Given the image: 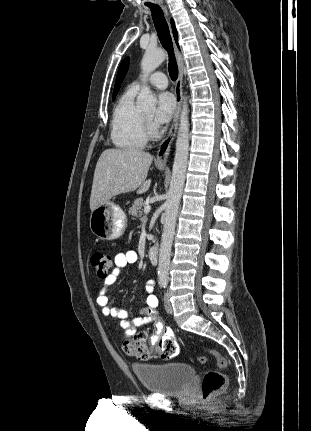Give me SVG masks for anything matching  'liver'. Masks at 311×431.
Listing matches in <instances>:
<instances>
[{
	"mask_svg": "<svg viewBox=\"0 0 311 431\" xmlns=\"http://www.w3.org/2000/svg\"><path fill=\"white\" fill-rule=\"evenodd\" d=\"M153 156L142 150H105L95 168L90 196L93 212L102 202L119 194H145L151 186L147 180Z\"/></svg>",
	"mask_w": 311,
	"mask_h": 431,
	"instance_id": "obj_1",
	"label": "liver"
}]
</instances>
